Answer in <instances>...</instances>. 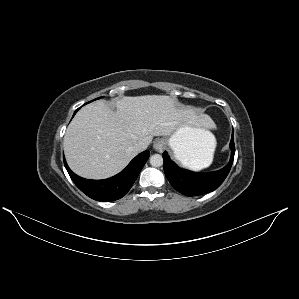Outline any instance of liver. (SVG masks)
<instances>
[{"mask_svg": "<svg viewBox=\"0 0 299 299\" xmlns=\"http://www.w3.org/2000/svg\"><path fill=\"white\" fill-rule=\"evenodd\" d=\"M116 107L114 112L103 101L90 103L69 124L63 148L76 174L89 179L111 177L138 154L137 142L148 146L154 136L171 135L186 119L166 95L123 97Z\"/></svg>", "mask_w": 299, "mask_h": 299, "instance_id": "6515ba94", "label": "liver"}]
</instances>
